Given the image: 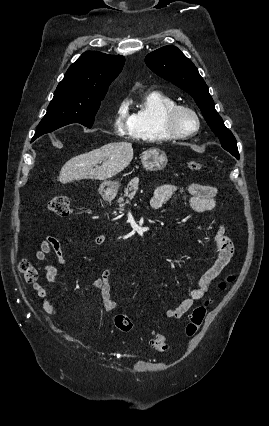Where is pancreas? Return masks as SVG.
<instances>
[{"label": "pancreas", "mask_w": 269, "mask_h": 426, "mask_svg": "<svg viewBox=\"0 0 269 426\" xmlns=\"http://www.w3.org/2000/svg\"><path fill=\"white\" fill-rule=\"evenodd\" d=\"M139 178H133L124 190V195L118 199L119 210H123L129 200H132L138 190Z\"/></svg>", "instance_id": "pancreas-1"}]
</instances>
